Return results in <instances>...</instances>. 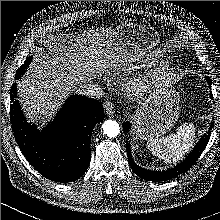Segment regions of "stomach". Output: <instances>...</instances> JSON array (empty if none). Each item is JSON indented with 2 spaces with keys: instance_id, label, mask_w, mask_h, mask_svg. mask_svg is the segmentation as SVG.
Segmentation results:
<instances>
[{
  "instance_id": "stomach-1",
  "label": "stomach",
  "mask_w": 220,
  "mask_h": 220,
  "mask_svg": "<svg viewBox=\"0 0 220 220\" xmlns=\"http://www.w3.org/2000/svg\"><path fill=\"white\" fill-rule=\"evenodd\" d=\"M121 39L131 59L153 55L161 36L152 27L125 22L118 28ZM180 95L172 88L159 89L144 104L134 127L138 139L157 138L171 130L179 117Z\"/></svg>"
}]
</instances>
